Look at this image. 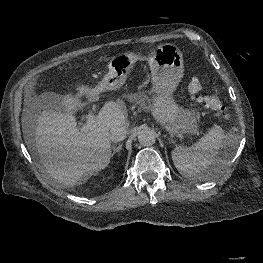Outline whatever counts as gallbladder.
<instances>
[{"mask_svg": "<svg viewBox=\"0 0 263 263\" xmlns=\"http://www.w3.org/2000/svg\"><path fill=\"white\" fill-rule=\"evenodd\" d=\"M37 102L41 110L49 113H60L63 110L61 96L55 92L43 93Z\"/></svg>", "mask_w": 263, "mask_h": 263, "instance_id": "1", "label": "gallbladder"}]
</instances>
